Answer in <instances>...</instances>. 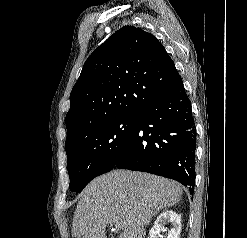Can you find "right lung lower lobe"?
<instances>
[{"mask_svg":"<svg viewBox=\"0 0 247 238\" xmlns=\"http://www.w3.org/2000/svg\"><path fill=\"white\" fill-rule=\"evenodd\" d=\"M195 149L190 100L179 77L167 94L138 112L136 126L113 168L174 179L193 192Z\"/></svg>","mask_w":247,"mask_h":238,"instance_id":"right-lung-lower-lobe-1","label":"right lung lower lobe"}]
</instances>
